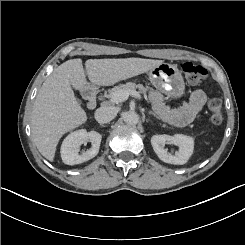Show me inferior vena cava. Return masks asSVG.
I'll use <instances>...</instances> for the list:
<instances>
[{
	"instance_id": "602c4592",
	"label": "inferior vena cava",
	"mask_w": 245,
	"mask_h": 245,
	"mask_svg": "<svg viewBox=\"0 0 245 245\" xmlns=\"http://www.w3.org/2000/svg\"><path fill=\"white\" fill-rule=\"evenodd\" d=\"M117 112L114 108L103 106L95 111V119L98 123L104 124L110 122L116 116Z\"/></svg>"
}]
</instances>
